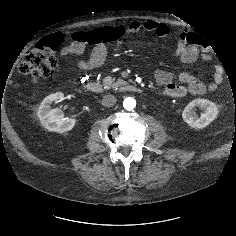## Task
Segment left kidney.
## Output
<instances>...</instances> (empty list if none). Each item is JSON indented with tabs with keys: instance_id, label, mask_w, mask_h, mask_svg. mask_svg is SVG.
Returning <instances> with one entry per match:
<instances>
[{
	"instance_id": "5707ae66",
	"label": "left kidney",
	"mask_w": 236,
	"mask_h": 236,
	"mask_svg": "<svg viewBox=\"0 0 236 236\" xmlns=\"http://www.w3.org/2000/svg\"><path fill=\"white\" fill-rule=\"evenodd\" d=\"M195 107H200L204 110L200 117L196 116L194 111ZM219 113L218 107L215 103L207 99H194L183 110L182 118L191 127L195 129H201L208 126Z\"/></svg>"
}]
</instances>
